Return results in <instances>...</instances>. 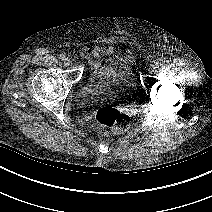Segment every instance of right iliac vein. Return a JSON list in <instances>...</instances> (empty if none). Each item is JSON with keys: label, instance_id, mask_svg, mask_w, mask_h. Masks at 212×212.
I'll list each match as a JSON object with an SVG mask.
<instances>
[{"label": "right iliac vein", "instance_id": "obj_1", "mask_svg": "<svg viewBox=\"0 0 212 212\" xmlns=\"http://www.w3.org/2000/svg\"><path fill=\"white\" fill-rule=\"evenodd\" d=\"M63 63H64L65 66H69V65L71 64V61H70L69 58H65V59L63 60Z\"/></svg>", "mask_w": 212, "mask_h": 212}]
</instances>
